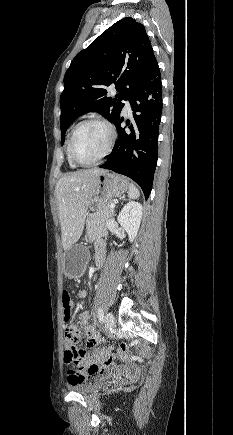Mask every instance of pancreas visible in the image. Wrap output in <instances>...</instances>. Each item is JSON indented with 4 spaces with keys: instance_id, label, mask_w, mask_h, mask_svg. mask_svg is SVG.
Returning a JSON list of instances; mask_svg holds the SVG:
<instances>
[{
    "instance_id": "1",
    "label": "pancreas",
    "mask_w": 233,
    "mask_h": 435,
    "mask_svg": "<svg viewBox=\"0 0 233 435\" xmlns=\"http://www.w3.org/2000/svg\"><path fill=\"white\" fill-rule=\"evenodd\" d=\"M110 205L111 203L108 202L89 215L87 222V236L89 240L107 234V222L114 213V209L109 208Z\"/></svg>"
}]
</instances>
